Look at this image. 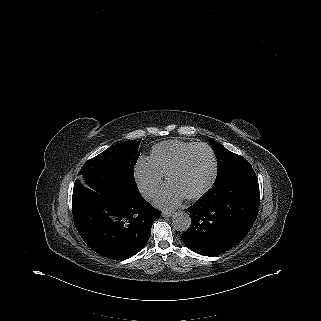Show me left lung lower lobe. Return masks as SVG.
I'll return each instance as SVG.
<instances>
[{
    "label": "left lung lower lobe",
    "instance_id": "0a47b994",
    "mask_svg": "<svg viewBox=\"0 0 321 321\" xmlns=\"http://www.w3.org/2000/svg\"><path fill=\"white\" fill-rule=\"evenodd\" d=\"M259 184L252 167L230 172L187 208L191 226L183 243L203 256L236 246L249 232L259 210Z\"/></svg>",
    "mask_w": 321,
    "mask_h": 321
}]
</instances>
